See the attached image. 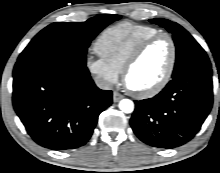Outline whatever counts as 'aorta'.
<instances>
[{"label": "aorta", "instance_id": "1", "mask_svg": "<svg viewBox=\"0 0 220 173\" xmlns=\"http://www.w3.org/2000/svg\"><path fill=\"white\" fill-rule=\"evenodd\" d=\"M119 109L124 113H132L134 110V103L129 99H122L119 102Z\"/></svg>", "mask_w": 220, "mask_h": 173}]
</instances>
